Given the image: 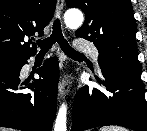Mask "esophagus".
<instances>
[{
  "label": "esophagus",
  "mask_w": 147,
  "mask_h": 131,
  "mask_svg": "<svg viewBox=\"0 0 147 131\" xmlns=\"http://www.w3.org/2000/svg\"><path fill=\"white\" fill-rule=\"evenodd\" d=\"M63 7H64V0H57L56 12L59 17L62 15ZM66 85H67V76L63 75L58 84V95L60 98L64 97L67 92Z\"/></svg>",
  "instance_id": "esophagus-1"
}]
</instances>
